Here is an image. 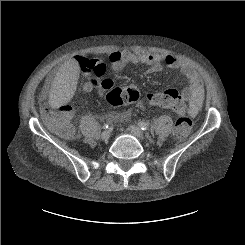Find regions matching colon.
Instances as JSON below:
<instances>
[{"instance_id":"1","label":"colon","mask_w":245,"mask_h":245,"mask_svg":"<svg viewBox=\"0 0 245 245\" xmlns=\"http://www.w3.org/2000/svg\"><path fill=\"white\" fill-rule=\"evenodd\" d=\"M76 64L85 75H93L94 87L105 92L106 101L111 107H120L125 103L135 101L138 98V88L129 84L122 88L102 85L98 77L105 71V64L96 59L76 57ZM149 104L172 110L177 115L174 127V135L177 138H185L189 135L192 121L187 114V105L177 90L168 89L149 93L147 96ZM71 107L68 103H60L55 108H47V123L52 132L62 138H70L74 131L69 122Z\"/></svg>"}]
</instances>
